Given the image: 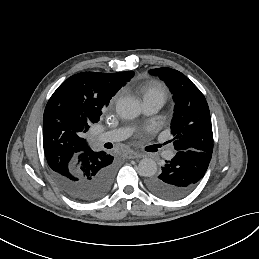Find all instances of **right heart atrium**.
I'll list each match as a JSON object with an SVG mask.
<instances>
[{
	"instance_id": "right-heart-atrium-1",
	"label": "right heart atrium",
	"mask_w": 259,
	"mask_h": 259,
	"mask_svg": "<svg viewBox=\"0 0 259 259\" xmlns=\"http://www.w3.org/2000/svg\"><path fill=\"white\" fill-rule=\"evenodd\" d=\"M119 96H120L119 93H117V94L114 96V100L117 101L118 98H119Z\"/></svg>"
}]
</instances>
